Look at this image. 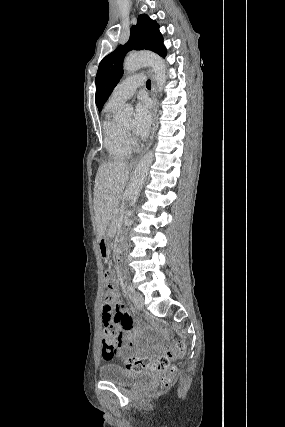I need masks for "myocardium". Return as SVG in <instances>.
Returning a JSON list of instances; mask_svg holds the SVG:
<instances>
[{"instance_id":"f54148a6","label":"myocardium","mask_w":285,"mask_h":427,"mask_svg":"<svg viewBox=\"0 0 285 427\" xmlns=\"http://www.w3.org/2000/svg\"><path fill=\"white\" fill-rule=\"evenodd\" d=\"M122 128H123V130L125 131V133H126L127 135H129V134H130V130H129V129L125 128L123 125H122Z\"/></svg>"}]
</instances>
